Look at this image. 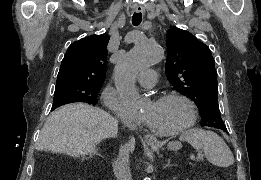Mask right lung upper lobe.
Returning <instances> with one entry per match:
<instances>
[{
    "instance_id": "1",
    "label": "right lung upper lobe",
    "mask_w": 261,
    "mask_h": 180,
    "mask_svg": "<svg viewBox=\"0 0 261 180\" xmlns=\"http://www.w3.org/2000/svg\"><path fill=\"white\" fill-rule=\"evenodd\" d=\"M107 34L91 35L71 44L62 60L56 86L102 85L106 78Z\"/></svg>"
}]
</instances>
